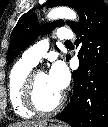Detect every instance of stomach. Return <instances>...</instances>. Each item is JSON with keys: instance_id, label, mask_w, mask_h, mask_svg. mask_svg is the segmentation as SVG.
Masks as SVG:
<instances>
[{"instance_id": "stomach-1", "label": "stomach", "mask_w": 108, "mask_h": 127, "mask_svg": "<svg viewBox=\"0 0 108 127\" xmlns=\"http://www.w3.org/2000/svg\"><path fill=\"white\" fill-rule=\"evenodd\" d=\"M46 127H68V125L66 124H49L48 126L46 125Z\"/></svg>"}]
</instances>
